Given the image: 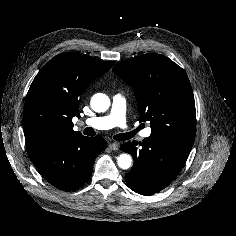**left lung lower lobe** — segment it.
I'll use <instances>...</instances> for the list:
<instances>
[{
	"instance_id": "0a47b994",
	"label": "left lung lower lobe",
	"mask_w": 236,
	"mask_h": 236,
	"mask_svg": "<svg viewBox=\"0 0 236 236\" xmlns=\"http://www.w3.org/2000/svg\"><path fill=\"white\" fill-rule=\"evenodd\" d=\"M193 144L149 136L142 142H126L121 150L133 156L134 164L125 176L135 192L152 195L167 187L178 175Z\"/></svg>"
}]
</instances>
